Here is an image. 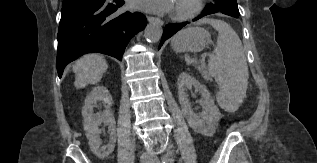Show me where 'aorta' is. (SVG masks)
I'll return each instance as SVG.
<instances>
[{
	"instance_id": "1",
	"label": "aorta",
	"mask_w": 317,
	"mask_h": 163,
	"mask_svg": "<svg viewBox=\"0 0 317 163\" xmlns=\"http://www.w3.org/2000/svg\"><path fill=\"white\" fill-rule=\"evenodd\" d=\"M163 34L162 24L159 20L150 22L145 29V39L150 43L158 42Z\"/></svg>"
}]
</instances>
